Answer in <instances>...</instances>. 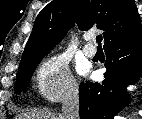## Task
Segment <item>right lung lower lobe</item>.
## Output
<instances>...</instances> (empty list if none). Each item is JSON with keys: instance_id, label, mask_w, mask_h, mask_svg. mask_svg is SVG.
Masks as SVG:
<instances>
[{"instance_id": "1", "label": "right lung lower lobe", "mask_w": 142, "mask_h": 119, "mask_svg": "<svg viewBox=\"0 0 142 119\" xmlns=\"http://www.w3.org/2000/svg\"><path fill=\"white\" fill-rule=\"evenodd\" d=\"M107 68L102 83L80 84L81 119H113L129 96L126 86L142 72V30L104 47Z\"/></svg>"}]
</instances>
